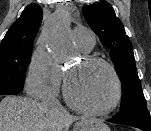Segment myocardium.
<instances>
[{"mask_svg":"<svg viewBox=\"0 0 151 131\" xmlns=\"http://www.w3.org/2000/svg\"><path fill=\"white\" fill-rule=\"evenodd\" d=\"M83 63L86 65H90V64H100L103 65L104 67H106L108 69V71L110 72L112 79H113V83H114V95L112 100L109 102L108 105H106L103 108L100 109H94V108H90L87 107L85 105H83L82 103H80L79 101H77L71 94L70 90H69V83H68V76L69 73L66 75L65 80H64V84H63V94H64V98L67 101V103L74 108L75 110L86 114V115H90V116H105L110 114L111 112H113L117 106L119 105L121 99H122V83L120 80V77L116 71V69L114 68V66L107 61L106 59L99 57V56H95V55H86L83 58Z\"/></svg>","mask_w":151,"mask_h":131,"instance_id":"1","label":"myocardium"}]
</instances>
